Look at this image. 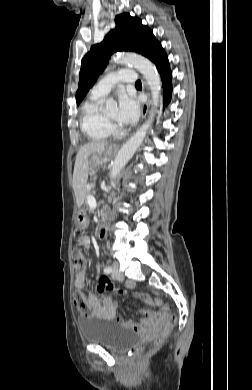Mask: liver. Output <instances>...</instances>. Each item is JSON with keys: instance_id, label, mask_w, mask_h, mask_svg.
<instances>
[{"instance_id": "obj_1", "label": "liver", "mask_w": 252, "mask_h": 390, "mask_svg": "<svg viewBox=\"0 0 252 390\" xmlns=\"http://www.w3.org/2000/svg\"><path fill=\"white\" fill-rule=\"evenodd\" d=\"M107 142L96 141L82 146L76 156L73 172V189L79 204H82L86 194V184L89 174L90 155L102 152L107 146Z\"/></svg>"}]
</instances>
